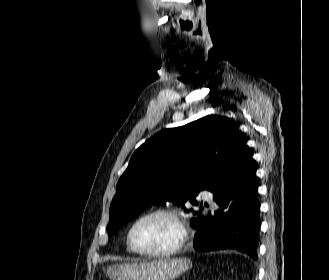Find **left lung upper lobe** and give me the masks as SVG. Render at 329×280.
<instances>
[{"label":"left lung upper lobe","instance_id":"1","mask_svg":"<svg viewBox=\"0 0 329 280\" xmlns=\"http://www.w3.org/2000/svg\"><path fill=\"white\" fill-rule=\"evenodd\" d=\"M244 145L236 126L217 115L155 134L135 151L118 181L108 235L147 207L166 201L197 214L191 219L197 227L201 212L187 209L185 203L198 205L200 190L216 194L228 186L240 169Z\"/></svg>","mask_w":329,"mask_h":280}]
</instances>
